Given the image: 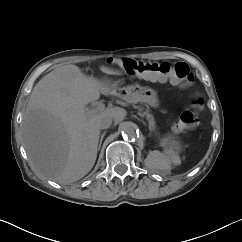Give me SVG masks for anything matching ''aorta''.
<instances>
[{"instance_id":"762f6f07","label":"aorta","mask_w":242,"mask_h":242,"mask_svg":"<svg viewBox=\"0 0 242 242\" xmlns=\"http://www.w3.org/2000/svg\"><path fill=\"white\" fill-rule=\"evenodd\" d=\"M122 133L129 139H135L139 135V130L135 123L126 122L122 128Z\"/></svg>"}]
</instances>
